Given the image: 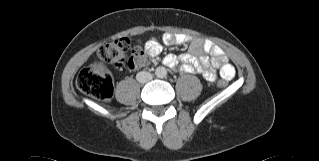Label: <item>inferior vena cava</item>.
<instances>
[{
	"mask_svg": "<svg viewBox=\"0 0 319 161\" xmlns=\"http://www.w3.org/2000/svg\"><path fill=\"white\" fill-rule=\"evenodd\" d=\"M136 79L140 83H147L152 80V74L146 71H140L137 73Z\"/></svg>",
	"mask_w": 319,
	"mask_h": 161,
	"instance_id": "obj_1",
	"label": "inferior vena cava"
}]
</instances>
